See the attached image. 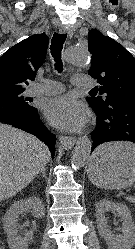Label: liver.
Segmentation results:
<instances>
[{"label":"liver","instance_id":"1","mask_svg":"<svg viewBox=\"0 0 135 249\" xmlns=\"http://www.w3.org/2000/svg\"><path fill=\"white\" fill-rule=\"evenodd\" d=\"M50 157L38 138L0 123V201L24 189L46 169Z\"/></svg>","mask_w":135,"mask_h":249}]
</instances>
